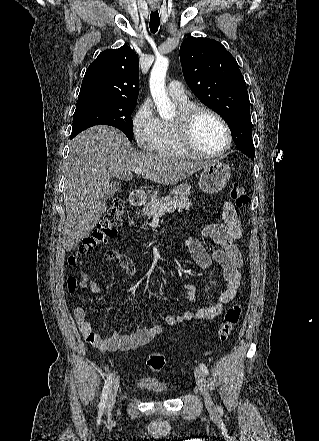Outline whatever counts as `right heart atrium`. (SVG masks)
Here are the masks:
<instances>
[{
	"mask_svg": "<svg viewBox=\"0 0 319 441\" xmlns=\"http://www.w3.org/2000/svg\"><path fill=\"white\" fill-rule=\"evenodd\" d=\"M131 130L137 146L143 151L154 149L160 134V120L152 104L143 102L131 119Z\"/></svg>",
	"mask_w": 319,
	"mask_h": 441,
	"instance_id": "right-heart-atrium-1",
	"label": "right heart atrium"
}]
</instances>
